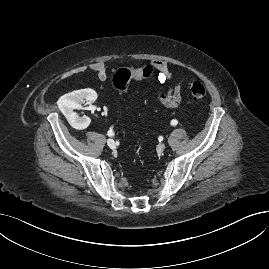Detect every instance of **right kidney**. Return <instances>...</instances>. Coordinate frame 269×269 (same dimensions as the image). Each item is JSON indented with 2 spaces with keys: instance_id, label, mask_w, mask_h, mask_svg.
Returning a JSON list of instances; mask_svg holds the SVG:
<instances>
[{
  "instance_id": "ca27d5eb",
  "label": "right kidney",
  "mask_w": 269,
  "mask_h": 269,
  "mask_svg": "<svg viewBox=\"0 0 269 269\" xmlns=\"http://www.w3.org/2000/svg\"><path fill=\"white\" fill-rule=\"evenodd\" d=\"M97 93L92 89H81L63 95L58 100V107L69 123L80 124V128H86L90 124L88 117H79L73 110L81 108V103L85 100L88 104L95 102Z\"/></svg>"
}]
</instances>
